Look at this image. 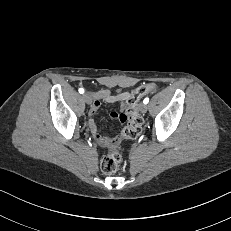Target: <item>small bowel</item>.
I'll return each mask as SVG.
<instances>
[{
    "label": "small bowel",
    "mask_w": 231,
    "mask_h": 231,
    "mask_svg": "<svg viewBox=\"0 0 231 231\" xmlns=\"http://www.w3.org/2000/svg\"><path fill=\"white\" fill-rule=\"evenodd\" d=\"M128 92H120V93H113L110 89H102L92 93L93 103L89 110V129L97 141L98 144L104 147H115L120 142V136H107L102 134L98 130L97 122L95 115L98 109L101 106L102 102L106 103H119L120 110L119 111H112L111 117L113 119L118 120L121 123H125L124 120L121 118V115L124 113L127 105V100L129 98Z\"/></svg>",
    "instance_id": "obj_1"
}]
</instances>
